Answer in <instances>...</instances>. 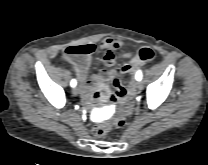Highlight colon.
I'll return each mask as SVG.
<instances>
[{
    "instance_id": "obj_1",
    "label": "colon",
    "mask_w": 208,
    "mask_h": 165,
    "mask_svg": "<svg viewBox=\"0 0 208 165\" xmlns=\"http://www.w3.org/2000/svg\"><path fill=\"white\" fill-rule=\"evenodd\" d=\"M90 52L89 47L85 45H73L69 46L65 50V55L67 57H72V56H82L85 54H88ZM155 58L154 52L149 49V48H141L138 50L136 55H131L129 57V62L120 68V72L124 74L126 77H133L136 72H139L141 68L144 66V63L150 62ZM118 80V79H117ZM121 81V80H119ZM122 83V88L120 92V96L125 94L126 88H128L131 85V82L129 80H124ZM120 100V98H119ZM126 124V116L121 115L117 117L114 121L112 122H106L100 125H97L93 129V134L95 137H103L105 136L111 127L117 126V127H122Z\"/></svg>"
}]
</instances>
